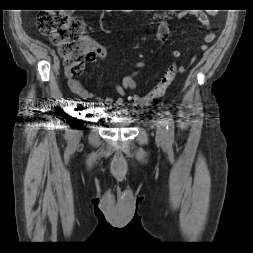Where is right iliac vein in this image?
<instances>
[{"label":"right iliac vein","instance_id":"right-iliac-vein-1","mask_svg":"<svg viewBox=\"0 0 253 253\" xmlns=\"http://www.w3.org/2000/svg\"><path fill=\"white\" fill-rule=\"evenodd\" d=\"M76 126V119H73V124L70 125V132L72 134V142L75 143L78 138L80 137V134L78 133V129L75 128Z\"/></svg>","mask_w":253,"mask_h":253}]
</instances>
